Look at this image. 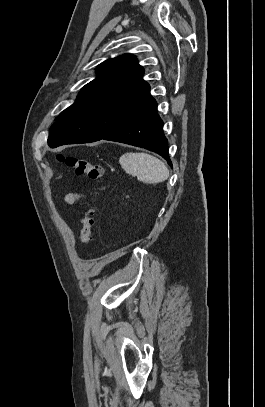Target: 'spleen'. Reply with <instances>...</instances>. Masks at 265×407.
<instances>
[{
	"label": "spleen",
	"instance_id": "1",
	"mask_svg": "<svg viewBox=\"0 0 265 407\" xmlns=\"http://www.w3.org/2000/svg\"><path fill=\"white\" fill-rule=\"evenodd\" d=\"M122 168L138 180L155 184L169 177L167 166L158 158L143 152H128L120 157Z\"/></svg>",
	"mask_w": 265,
	"mask_h": 407
}]
</instances>
